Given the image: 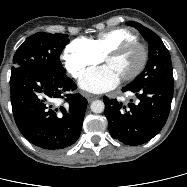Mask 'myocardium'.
Here are the masks:
<instances>
[{
  "instance_id": "f54148a6",
  "label": "myocardium",
  "mask_w": 187,
  "mask_h": 187,
  "mask_svg": "<svg viewBox=\"0 0 187 187\" xmlns=\"http://www.w3.org/2000/svg\"><path fill=\"white\" fill-rule=\"evenodd\" d=\"M135 47L141 49L142 58H141V61H140V64L138 65V67L132 73H130L129 75L122 78V81H124V82L134 80L145 69V67L147 65V61H148V50H147L146 46L138 40L126 41V42H123L120 45L114 47L110 51H108L105 54V56L103 57L104 61L106 62L108 58L118 57V56L122 55L123 53H125L127 50H129L131 48H135Z\"/></svg>"
}]
</instances>
